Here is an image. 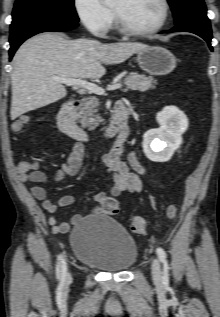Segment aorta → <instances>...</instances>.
<instances>
[{
  "instance_id": "obj_1",
  "label": "aorta",
  "mask_w": 220,
  "mask_h": 317,
  "mask_svg": "<svg viewBox=\"0 0 220 317\" xmlns=\"http://www.w3.org/2000/svg\"><path fill=\"white\" fill-rule=\"evenodd\" d=\"M106 4H112L114 3L116 0H103Z\"/></svg>"
}]
</instances>
